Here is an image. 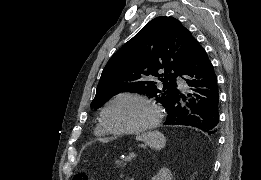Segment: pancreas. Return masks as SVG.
Here are the masks:
<instances>
[{"label": "pancreas", "instance_id": "cf45deb5", "mask_svg": "<svg viewBox=\"0 0 261 180\" xmlns=\"http://www.w3.org/2000/svg\"><path fill=\"white\" fill-rule=\"evenodd\" d=\"M115 169L116 170H124L125 166L123 165V160L122 159H116V162L114 163Z\"/></svg>", "mask_w": 261, "mask_h": 180}]
</instances>
